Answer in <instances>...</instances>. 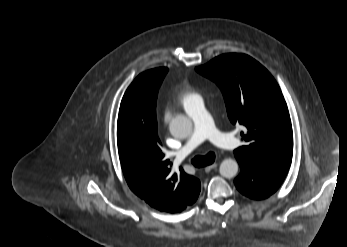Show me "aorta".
<instances>
[{
	"label": "aorta",
	"mask_w": 347,
	"mask_h": 247,
	"mask_svg": "<svg viewBox=\"0 0 347 247\" xmlns=\"http://www.w3.org/2000/svg\"><path fill=\"white\" fill-rule=\"evenodd\" d=\"M169 129L172 136L180 139L187 138L192 131V121L184 115H178L171 120ZM219 172L225 178H233L238 172L237 161L231 158L223 160Z\"/></svg>",
	"instance_id": "1"
}]
</instances>
